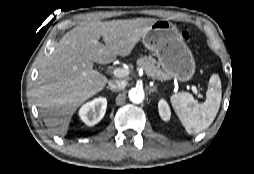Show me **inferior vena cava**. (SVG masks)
<instances>
[{
	"label": "inferior vena cava",
	"instance_id": "inferior-vena-cava-1",
	"mask_svg": "<svg viewBox=\"0 0 254 174\" xmlns=\"http://www.w3.org/2000/svg\"><path fill=\"white\" fill-rule=\"evenodd\" d=\"M127 82L124 80H111L108 82V87L112 91H119L126 87Z\"/></svg>",
	"mask_w": 254,
	"mask_h": 174
}]
</instances>
